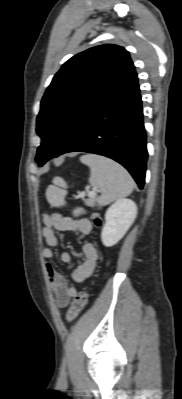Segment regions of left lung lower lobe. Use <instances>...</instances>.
Listing matches in <instances>:
<instances>
[{
	"instance_id": "1",
	"label": "left lung lower lobe",
	"mask_w": 182,
	"mask_h": 399,
	"mask_svg": "<svg viewBox=\"0 0 182 399\" xmlns=\"http://www.w3.org/2000/svg\"><path fill=\"white\" fill-rule=\"evenodd\" d=\"M75 151L99 154L119 162L139 188H143L148 153L137 76L91 117L61 154Z\"/></svg>"
}]
</instances>
